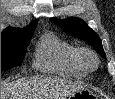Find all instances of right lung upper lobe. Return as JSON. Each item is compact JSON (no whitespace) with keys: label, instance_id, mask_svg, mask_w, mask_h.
Masks as SVG:
<instances>
[{"label":"right lung upper lobe","instance_id":"right-lung-upper-lobe-1","mask_svg":"<svg viewBox=\"0 0 115 99\" xmlns=\"http://www.w3.org/2000/svg\"><path fill=\"white\" fill-rule=\"evenodd\" d=\"M36 24H37V21H34L31 23L30 26H28L25 29L7 28L3 32H1V37L20 36V35H27V34L34 33Z\"/></svg>","mask_w":115,"mask_h":99}]
</instances>
